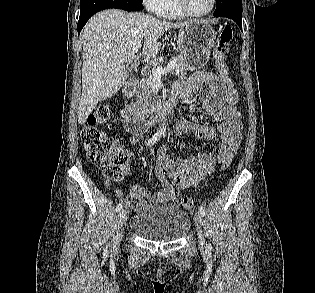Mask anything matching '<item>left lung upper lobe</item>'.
<instances>
[{"label":"left lung upper lobe","instance_id":"obj_1","mask_svg":"<svg viewBox=\"0 0 315 293\" xmlns=\"http://www.w3.org/2000/svg\"><path fill=\"white\" fill-rule=\"evenodd\" d=\"M225 14L242 15V0H217L215 17Z\"/></svg>","mask_w":315,"mask_h":293}]
</instances>
